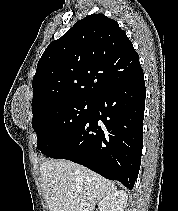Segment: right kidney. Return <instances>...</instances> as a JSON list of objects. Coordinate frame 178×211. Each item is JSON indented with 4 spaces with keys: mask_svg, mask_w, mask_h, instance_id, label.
<instances>
[{
    "mask_svg": "<svg viewBox=\"0 0 178 211\" xmlns=\"http://www.w3.org/2000/svg\"><path fill=\"white\" fill-rule=\"evenodd\" d=\"M128 195L124 190H116L107 195L98 204L100 211H124Z\"/></svg>",
    "mask_w": 178,
    "mask_h": 211,
    "instance_id": "obj_1",
    "label": "right kidney"
}]
</instances>
